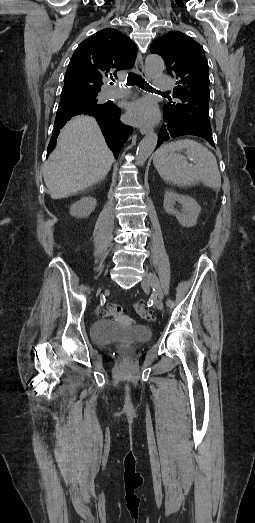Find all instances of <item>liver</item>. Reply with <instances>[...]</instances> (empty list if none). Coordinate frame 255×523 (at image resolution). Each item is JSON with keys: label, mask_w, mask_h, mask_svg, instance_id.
<instances>
[{"label": "liver", "mask_w": 255, "mask_h": 523, "mask_svg": "<svg viewBox=\"0 0 255 523\" xmlns=\"http://www.w3.org/2000/svg\"><path fill=\"white\" fill-rule=\"evenodd\" d=\"M114 156L94 118L76 116L61 130L43 170L52 200L68 198L97 184L111 170Z\"/></svg>", "instance_id": "1"}]
</instances>
